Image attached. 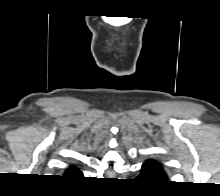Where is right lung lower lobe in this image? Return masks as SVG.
Listing matches in <instances>:
<instances>
[{"instance_id":"98d812e1","label":"right lung lower lobe","mask_w":220,"mask_h":196,"mask_svg":"<svg viewBox=\"0 0 220 196\" xmlns=\"http://www.w3.org/2000/svg\"><path fill=\"white\" fill-rule=\"evenodd\" d=\"M82 174V173H81ZM81 174L77 175V176H80ZM68 177H74V176H68Z\"/></svg>"}]
</instances>
